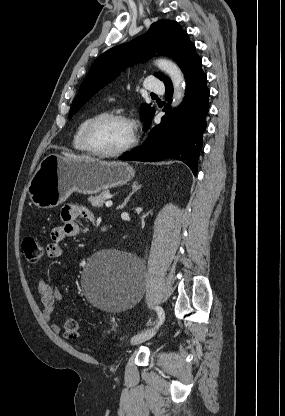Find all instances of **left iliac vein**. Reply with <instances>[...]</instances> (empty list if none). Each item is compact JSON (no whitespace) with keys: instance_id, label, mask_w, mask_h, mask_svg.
I'll return each instance as SVG.
<instances>
[{"instance_id":"obj_1","label":"left iliac vein","mask_w":285,"mask_h":416,"mask_svg":"<svg viewBox=\"0 0 285 416\" xmlns=\"http://www.w3.org/2000/svg\"><path fill=\"white\" fill-rule=\"evenodd\" d=\"M157 333V329H154L152 331H146L144 333H140L132 337L131 343L132 345H138L142 342L152 338Z\"/></svg>"}]
</instances>
